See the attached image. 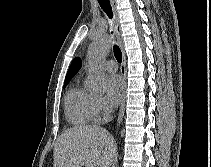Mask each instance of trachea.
I'll use <instances>...</instances> for the list:
<instances>
[{
    "instance_id": "3493384b",
    "label": "trachea",
    "mask_w": 211,
    "mask_h": 167,
    "mask_svg": "<svg viewBox=\"0 0 211 167\" xmlns=\"http://www.w3.org/2000/svg\"><path fill=\"white\" fill-rule=\"evenodd\" d=\"M98 3L100 4L103 11L108 15L110 19L113 17L112 7L109 0H98ZM114 56L117 59L119 63L122 61V52L120 48L117 45H114Z\"/></svg>"
}]
</instances>
